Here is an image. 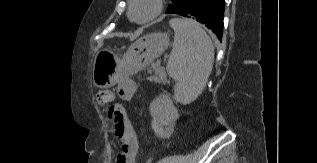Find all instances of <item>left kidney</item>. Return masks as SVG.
Returning <instances> with one entry per match:
<instances>
[{"mask_svg":"<svg viewBox=\"0 0 317 163\" xmlns=\"http://www.w3.org/2000/svg\"><path fill=\"white\" fill-rule=\"evenodd\" d=\"M152 116L151 127L156 136L169 138L179 117L173 101L167 94H160L149 106Z\"/></svg>","mask_w":317,"mask_h":163,"instance_id":"left-kidney-1","label":"left kidney"}]
</instances>
